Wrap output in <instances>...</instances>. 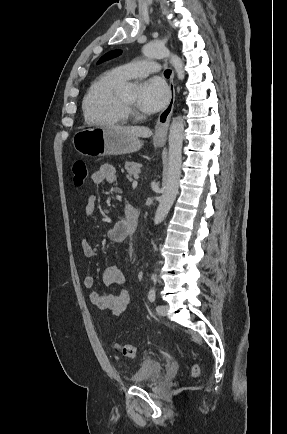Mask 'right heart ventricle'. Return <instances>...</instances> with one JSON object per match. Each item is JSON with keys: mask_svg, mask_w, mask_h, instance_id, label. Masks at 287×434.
I'll use <instances>...</instances> for the list:
<instances>
[{"mask_svg": "<svg viewBox=\"0 0 287 434\" xmlns=\"http://www.w3.org/2000/svg\"><path fill=\"white\" fill-rule=\"evenodd\" d=\"M125 81L115 68L102 73L91 83L82 101L87 123L105 125L127 121V116L117 103L118 89Z\"/></svg>", "mask_w": 287, "mask_h": 434, "instance_id": "1", "label": "right heart ventricle"}]
</instances>
